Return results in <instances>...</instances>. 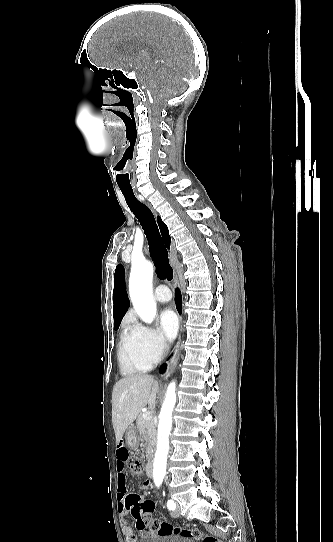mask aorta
Segmentation results:
<instances>
[{"instance_id":"1","label":"aorta","mask_w":333,"mask_h":542,"mask_svg":"<svg viewBox=\"0 0 333 542\" xmlns=\"http://www.w3.org/2000/svg\"><path fill=\"white\" fill-rule=\"evenodd\" d=\"M152 280L153 266L151 262H145V264H141L138 268L132 266L129 278V294L135 312H137L139 318L143 322H146V324H152L157 314V306L153 298ZM175 388V382L169 384L159 414L158 442L153 466L155 486H161L166 474L169 436L172 428V412L177 400Z\"/></svg>"}]
</instances>
